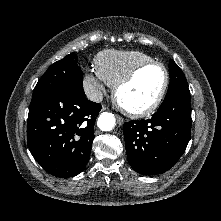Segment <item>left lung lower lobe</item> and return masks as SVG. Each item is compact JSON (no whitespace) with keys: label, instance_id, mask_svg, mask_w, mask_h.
I'll return each mask as SVG.
<instances>
[{"label":"left lung lower lobe","instance_id":"0a47b994","mask_svg":"<svg viewBox=\"0 0 221 221\" xmlns=\"http://www.w3.org/2000/svg\"><path fill=\"white\" fill-rule=\"evenodd\" d=\"M191 123L189 91L164 100L150 119L126 122L123 134L132 169L143 175L169 170L187 147Z\"/></svg>","mask_w":221,"mask_h":221}]
</instances>
